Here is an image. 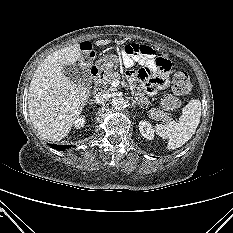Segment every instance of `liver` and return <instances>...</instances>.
<instances>
[{"mask_svg": "<svg viewBox=\"0 0 233 233\" xmlns=\"http://www.w3.org/2000/svg\"><path fill=\"white\" fill-rule=\"evenodd\" d=\"M111 40H98L104 46ZM81 55L79 44L59 49L38 66L30 82L28 108L30 120L38 134L51 141H59L70 132L81 114L90 91L70 80L63 66L73 65Z\"/></svg>", "mask_w": 233, "mask_h": 233, "instance_id": "liver-1", "label": "liver"}]
</instances>
